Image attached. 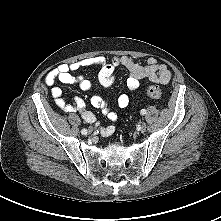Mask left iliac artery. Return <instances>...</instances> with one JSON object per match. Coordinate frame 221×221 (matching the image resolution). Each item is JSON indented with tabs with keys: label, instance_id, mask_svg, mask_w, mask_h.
<instances>
[{
	"label": "left iliac artery",
	"instance_id": "1",
	"mask_svg": "<svg viewBox=\"0 0 221 221\" xmlns=\"http://www.w3.org/2000/svg\"><path fill=\"white\" fill-rule=\"evenodd\" d=\"M142 115L146 114V110L145 109H142L141 112H140Z\"/></svg>",
	"mask_w": 221,
	"mask_h": 221
}]
</instances>
